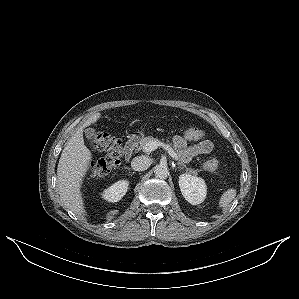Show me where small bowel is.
Wrapping results in <instances>:
<instances>
[{
  "mask_svg": "<svg viewBox=\"0 0 299 299\" xmlns=\"http://www.w3.org/2000/svg\"><path fill=\"white\" fill-rule=\"evenodd\" d=\"M173 145L183 162H189L196 156L208 155L213 150V143L210 140H201L188 146L187 141L179 135L173 138Z\"/></svg>",
  "mask_w": 299,
  "mask_h": 299,
  "instance_id": "1",
  "label": "small bowel"
}]
</instances>
